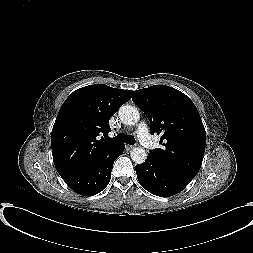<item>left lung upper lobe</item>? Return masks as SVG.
Instances as JSON below:
<instances>
[{
    "label": "left lung upper lobe",
    "mask_w": 253,
    "mask_h": 253,
    "mask_svg": "<svg viewBox=\"0 0 253 253\" xmlns=\"http://www.w3.org/2000/svg\"><path fill=\"white\" fill-rule=\"evenodd\" d=\"M146 114L152 134H161L162 148L148 154L159 163L194 178L205 152L206 132L192 100L175 88L154 85L130 91Z\"/></svg>",
    "instance_id": "1"
}]
</instances>
